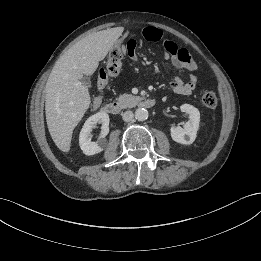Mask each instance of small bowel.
I'll return each mask as SVG.
<instances>
[{
	"mask_svg": "<svg viewBox=\"0 0 261 261\" xmlns=\"http://www.w3.org/2000/svg\"><path fill=\"white\" fill-rule=\"evenodd\" d=\"M142 36L144 39L152 42L162 40L165 59L171 61V65L175 76L171 80V89L173 92L179 95H190L197 83V71L198 67L191 57L190 53L183 48H180L174 41L163 39L162 31L155 27H146L142 30ZM136 42L135 40H129L123 50L131 57H135ZM181 70H186L190 73L188 81H183L178 73ZM103 97L101 94L97 95L93 100V107L97 108L101 105Z\"/></svg>",
	"mask_w": 261,
	"mask_h": 261,
	"instance_id": "1",
	"label": "small bowel"
}]
</instances>
